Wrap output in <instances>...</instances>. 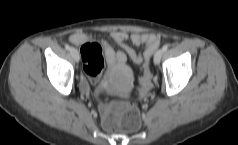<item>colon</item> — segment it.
<instances>
[{"label":"colon","instance_id":"5ec220e1","mask_svg":"<svg viewBox=\"0 0 238 145\" xmlns=\"http://www.w3.org/2000/svg\"><path fill=\"white\" fill-rule=\"evenodd\" d=\"M85 73L96 79L103 69V50L98 42L88 41L81 46ZM149 74L146 71L141 79L143 89L148 88ZM103 125L110 131L132 132L141 124L138 108L129 102L113 101L102 105Z\"/></svg>","mask_w":238,"mask_h":145}]
</instances>
